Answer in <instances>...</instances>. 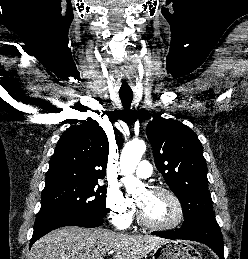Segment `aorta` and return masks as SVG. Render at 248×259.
Listing matches in <instances>:
<instances>
[{
	"mask_svg": "<svg viewBox=\"0 0 248 259\" xmlns=\"http://www.w3.org/2000/svg\"><path fill=\"white\" fill-rule=\"evenodd\" d=\"M146 150L143 140H134L125 145L120 156V173L124 175L123 184L129 194L135 195L143 188L142 182L133 176L142 155Z\"/></svg>",
	"mask_w": 248,
	"mask_h": 259,
	"instance_id": "aorta-1",
	"label": "aorta"
}]
</instances>
